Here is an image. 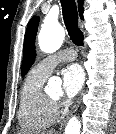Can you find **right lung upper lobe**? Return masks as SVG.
Listing matches in <instances>:
<instances>
[{"instance_id":"1","label":"right lung upper lobe","mask_w":116,"mask_h":134,"mask_svg":"<svg viewBox=\"0 0 116 134\" xmlns=\"http://www.w3.org/2000/svg\"><path fill=\"white\" fill-rule=\"evenodd\" d=\"M83 3L84 0H78V9H79V14L81 19H83Z\"/></svg>"}]
</instances>
